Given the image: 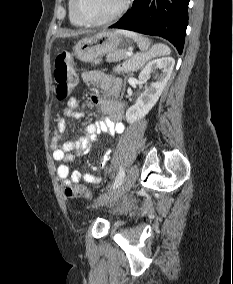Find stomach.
<instances>
[{
    "label": "stomach",
    "mask_w": 233,
    "mask_h": 284,
    "mask_svg": "<svg viewBox=\"0 0 233 284\" xmlns=\"http://www.w3.org/2000/svg\"><path fill=\"white\" fill-rule=\"evenodd\" d=\"M124 36L119 32L101 31L81 39L73 48L74 55L83 62H94L105 54L123 50Z\"/></svg>",
    "instance_id": "obj_1"
}]
</instances>
